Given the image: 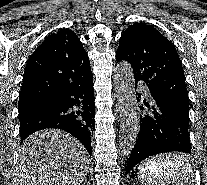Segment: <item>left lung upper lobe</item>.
<instances>
[{"label":"left lung upper lobe","instance_id":"1","mask_svg":"<svg viewBox=\"0 0 207 185\" xmlns=\"http://www.w3.org/2000/svg\"><path fill=\"white\" fill-rule=\"evenodd\" d=\"M117 61H128L135 80L189 113L183 67L172 43L145 23L130 25L120 37Z\"/></svg>","mask_w":207,"mask_h":185}]
</instances>
